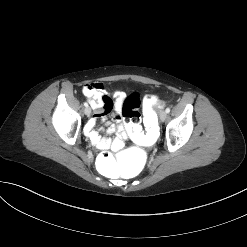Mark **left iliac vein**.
Listing matches in <instances>:
<instances>
[{
    "instance_id": "1",
    "label": "left iliac vein",
    "mask_w": 247,
    "mask_h": 247,
    "mask_svg": "<svg viewBox=\"0 0 247 247\" xmlns=\"http://www.w3.org/2000/svg\"><path fill=\"white\" fill-rule=\"evenodd\" d=\"M166 118H167V113H166V111H161V112H160V120H161V121H165Z\"/></svg>"
}]
</instances>
